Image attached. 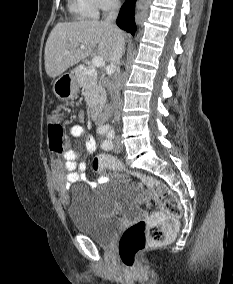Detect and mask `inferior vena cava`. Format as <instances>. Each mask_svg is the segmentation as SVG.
<instances>
[{"label": "inferior vena cava", "instance_id": "obj_1", "mask_svg": "<svg viewBox=\"0 0 233 284\" xmlns=\"http://www.w3.org/2000/svg\"><path fill=\"white\" fill-rule=\"evenodd\" d=\"M120 8V3L119 0H112L111 2V9L105 19V22L108 24H114L115 20L117 18L118 15V11ZM125 51V43H124V38L119 36L117 41H116V45H115V49L111 58V68L113 70L116 69V65H118L120 63V59L123 55V52ZM111 91L114 92V98L117 99L118 98V94L116 93L114 88H111Z\"/></svg>", "mask_w": 233, "mask_h": 284}]
</instances>
